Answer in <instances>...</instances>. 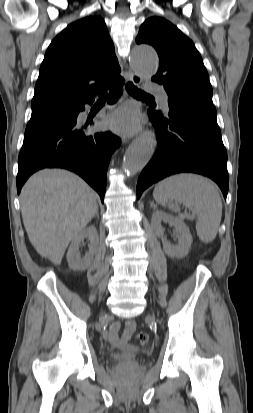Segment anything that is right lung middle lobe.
Returning <instances> with one entry per match:
<instances>
[{
	"mask_svg": "<svg viewBox=\"0 0 253 413\" xmlns=\"http://www.w3.org/2000/svg\"><path fill=\"white\" fill-rule=\"evenodd\" d=\"M76 119V109L52 111L32 115L26 127L24 139H28L50 130L71 125Z\"/></svg>",
	"mask_w": 253,
	"mask_h": 413,
	"instance_id": "dd1d6c3e",
	"label": "right lung middle lobe"
}]
</instances>
